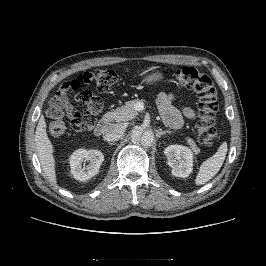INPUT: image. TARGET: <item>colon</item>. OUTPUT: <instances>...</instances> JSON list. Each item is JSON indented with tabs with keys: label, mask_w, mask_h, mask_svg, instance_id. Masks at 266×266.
I'll return each mask as SVG.
<instances>
[{
	"label": "colon",
	"mask_w": 266,
	"mask_h": 266,
	"mask_svg": "<svg viewBox=\"0 0 266 266\" xmlns=\"http://www.w3.org/2000/svg\"><path fill=\"white\" fill-rule=\"evenodd\" d=\"M176 83L186 89L195 91L200 98V120L197 124L198 141L205 146H213L218 138L215 128V116L218 111L217 92L212 79L204 72L193 66H184L174 71ZM118 81V75L111 69H96L79 73L69 78L51 100L49 112L53 121L49 125V132L53 136L62 135L68 126L76 130L91 128L97 114L102 109L101 97L89 90H81L87 84H95L102 93H108ZM71 91H79L75 100L80 108L72 109L64 115L59 108L67 100Z\"/></svg>",
	"instance_id": "1"
}]
</instances>
